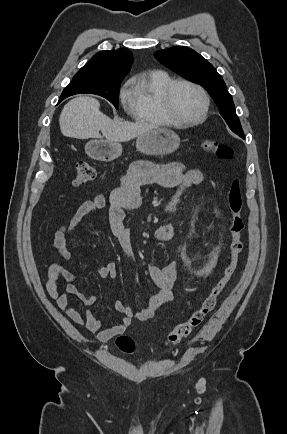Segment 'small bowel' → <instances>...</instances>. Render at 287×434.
I'll return each instance as SVG.
<instances>
[{"label": "small bowel", "instance_id": "small-bowel-1", "mask_svg": "<svg viewBox=\"0 0 287 434\" xmlns=\"http://www.w3.org/2000/svg\"><path fill=\"white\" fill-rule=\"evenodd\" d=\"M202 179L200 170L186 169L181 163L153 164L142 160L134 161L127 173L121 177L119 185L112 191L109 200L103 195H98L94 199L84 202L72 215L69 222L57 228L54 233V247L62 259H70L71 253L67 247V238L75 235L85 218L100 209H106L111 234L124 249L133 280L136 282L138 277L131 241L133 229L126 227L123 222L126 211L133 210L140 205V188L148 184H158L173 190V195L166 204L165 210L168 214H174L179 199L186 189L200 184ZM154 235L158 241H169L176 235V226L173 223L162 224L155 230ZM96 273L102 279H116L118 276L117 265L111 261L97 268ZM148 274L153 284L158 288L157 292L147 300L146 305L140 310L116 300L113 304L114 309L123 317L117 325L108 328H104L102 320L96 318L89 309L81 314L72 305L70 295L79 297L85 306L94 305L96 297L78 289L75 284L76 273L67 270L62 262L56 261L50 265L47 272L46 289L58 307L66 313L72 322L85 326L99 341L106 342L123 334L130 327L133 319L139 321L151 319L159 308L173 300V288L178 277V264L172 262L164 267L149 264ZM60 278L66 281L62 292L58 290Z\"/></svg>", "mask_w": 287, "mask_h": 434}]
</instances>
